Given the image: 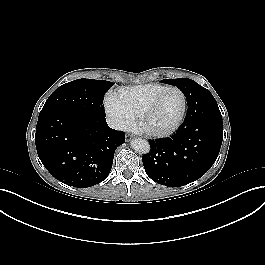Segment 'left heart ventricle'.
<instances>
[{
    "mask_svg": "<svg viewBox=\"0 0 265 265\" xmlns=\"http://www.w3.org/2000/svg\"><path fill=\"white\" fill-rule=\"evenodd\" d=\"M181 110V94L174 90L168 91L149 114L145 125L155 131L168 129L176 122Z\"/></svg>",
    "mask_w": 265,
    "mask_h": 265,
    "instance_id": "obj_1",
    "label": "left heart ventricle"
}]
</instances>
